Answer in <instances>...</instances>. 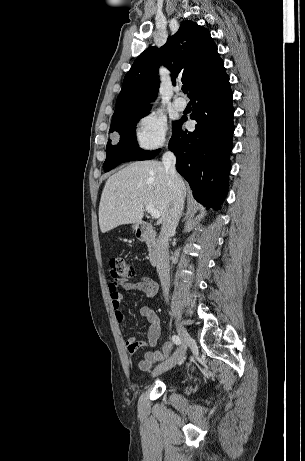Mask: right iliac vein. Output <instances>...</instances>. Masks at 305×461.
<instances>
[{
	"instance_id": "1",
	"label": "right iliac vein",
	"mask_w": 305,
	"mask_h": 461,
	"mask_svg": "<svg viewBox=\"0 0 305 461\" xmlns=\"http://www.w3.org/2000/svg\"><path fill=\"white\" fill-rule=\"evenodd\" d=\"M177 331L178 335L180 337L181 343L179 348L176 350V352L165 362L159 364L153 371V376H157L159 374H162L169 369L173 368L176 366L178 363L182 362L184 359V356L186 354V350L188 347L189 342L191 341V336L189 333L186 331V329L181 325L177 324Z\"/></svg>"
}]
</instances>
